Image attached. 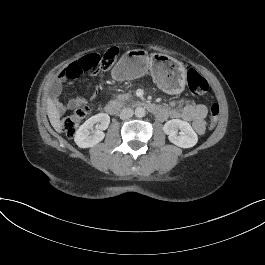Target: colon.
<instances>
[{
  "label": "colon",
  "instance_id": "5ec220e1",
  "mask_svg": "<svg viewBox=\"0 0 265 265\" xmlns=\"http://www.w3.org/2000/svg\"><path fill=\"white\" fill-rule=\"evenodd\" d=\"M117 54L118 51L116 48H110L102 55L96 53L88 54L67 66L60 73L59 78L64 80H73L79 77L85 71L92 69L97 71L108 70L113 66ZM186 82L190 93L195 97H201L208 91L209 84L207 80L194 69L187 71ZM89 112V107L83 106L79 109H76L70 115L64 117L61 120L62 131L69 137L73 136ZM219 113V105L217 103L213 104L210 109V129L216 126Z\"/></svg>",
  "mask_w": 265,
  "mask_h": 265
}]
</instances>
